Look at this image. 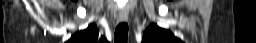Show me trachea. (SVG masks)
Masks as SVG:
<instances>
[{
    "instance_id": "3493384b",
    "label": "trachea",
    "mask_w": 256,
    "mask_h": 43,
    "mask_svg": "<svg viewBox=\"0 0 256 43\" xmlns=\"http://www.w3.org/2000/svg\"><path fill=\"white\" fill-rule=\"evenodd\" d=\"M128 39V24L121 22L115 29V43H127Z\"/></svg>"
}]
</instances>
